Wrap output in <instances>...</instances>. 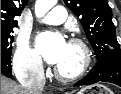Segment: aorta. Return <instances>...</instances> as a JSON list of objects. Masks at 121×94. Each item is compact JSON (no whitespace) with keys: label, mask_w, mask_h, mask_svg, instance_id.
Wrapping results in <instances>:
<instances>
[{"label":"aorta","mask_w":121,"mask_h":94,"mask_svg":"<svg viewBox=\"0 0 121 94\" xmlns=\"http://www.w3.org/2000/svg\"><path fill=\"white\" fill-rule=\"evenodd\" d=\"M57 0H36L35 14L38 18L43 17L55 4Z\"/></svg>","instance_id":"762f6f07"}]
</instances>
